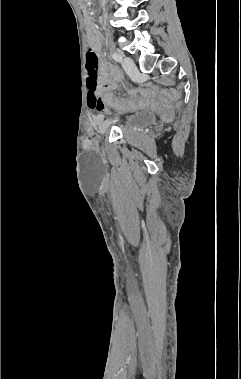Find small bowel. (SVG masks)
Wrapping results in <instances>:
<instances>
[{
  "label": "small bowel",
  "instance_id": "small-bowel-1",
  "mask_svg": "<svg viewBox=\"0 0 241 379\" xmlns=\"http://www.w3.org/2000/svg\"><path fill=\"white\" fill-rule=\"evenodd\" d=\"M90 41L95 49L99 47V40L98 37L95 34H92L90 36ZM100 71V84L101 89H99V83H88L87 87V96H86V106L87 110H94V113H97L99 115L105 114V109L107 106L106 101H101V94L102 92L108 88V87H114V82L110 78L109 71L107 67L104 64H101L99 67ZM126 108V105H125ZM96 115L95 119H99L100 116ZM111 116L113 119H116V117L122 116L121 110H112Z\"/></svg>",
  "mask_w": 241,
  "mask_h": 379
}]
</instances>
